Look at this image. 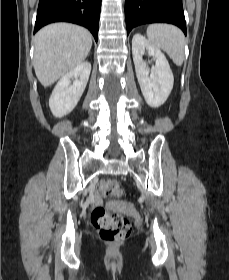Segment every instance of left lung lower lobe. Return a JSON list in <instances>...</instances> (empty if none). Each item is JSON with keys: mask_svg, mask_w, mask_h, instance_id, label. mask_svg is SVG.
I'll list each match as a JSON object with an SVG mask.
<instances>
[{"mask_svg": "<svg viewBox=\"0 0 229 280\" xmlns=\"http://www.w3.org/2000/svg\"><path fill=\"white\" fill-rule=\"evenodd\" d=\"M127 34L136 26L164 22L178 26L186 35L182 0H126Z\"/></svg>", "mask_w": 229, "mask_h": 280, "instance_id": "0a47b994", "label": "left lung lower lobe"}]
</instances>
